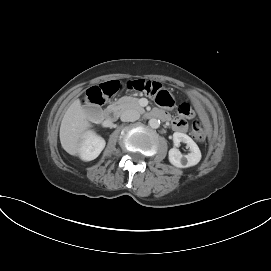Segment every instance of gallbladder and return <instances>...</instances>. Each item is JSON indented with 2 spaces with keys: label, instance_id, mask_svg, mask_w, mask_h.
I'll return each instance as SVG.
<instances>
[{
  "label": "gallbladder",
  "instance_id": "gallbladder-1",
  "mask_svg": "<svg viewBox=\"0 0 271 271\" xmlns=\"http://www.w3.org/2000/svg\"><path fill=\"white\" fill-rule=\"evenodd\" d=\"M88 114L92 120H100L101 119V109L97 106L88 107Z\"/></svg>",
  "mask_w": 271,
  "mask_h": 271
}]
</instances>
